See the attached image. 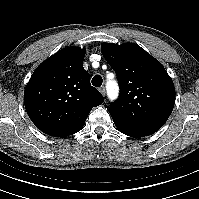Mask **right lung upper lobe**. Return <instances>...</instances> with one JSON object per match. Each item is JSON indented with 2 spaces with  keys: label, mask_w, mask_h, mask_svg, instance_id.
Instances as JSON below:
<instances>
[{
  "label": "right lung upper lobe",
  "mask_w": 199,
  "mask_h": 199,
  "mask_svg": "<svg viewBox=\"0 0 199 199\" xmlns=\"http://www.w3.org/2000/svg\"><path fill=\"white\" fill-rule=\"evenodd\" d=\"M84 55L80 47L57 52L36 68L25 88L27 114L48 135L66 137L80 131L91 109L104 101L83 68Z\"/></svg>",
  "instance_id": "cb5924a9"
}]
</instances>
